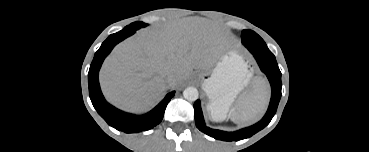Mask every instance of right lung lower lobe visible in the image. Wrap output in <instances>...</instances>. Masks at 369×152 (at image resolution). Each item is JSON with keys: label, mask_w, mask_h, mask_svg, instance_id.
<instances>
[{"label": "right lung lower lobe", "mask_w": 369, "mask_h": 152, "mask_svg": "<svg viewBox=\"0 0 369 152\" xmlns=\"http://www.w3.org/2000/svg\"><path fill=\"white\" fill-rule=\"evenodd\" d=\"M136 30L123 29L120 32L110 35L95 53L88 73L89 95L94 108L110 126L126 133L146 131L159 124L164 116L167 104L175 94L174 91L168 93L153 110L141 116L122 112L107 103L104 99L98 81L99 69L113 47L128 36L134 34Z\"/></svg>", "instance_id": "obj_1"}]
</instances>
